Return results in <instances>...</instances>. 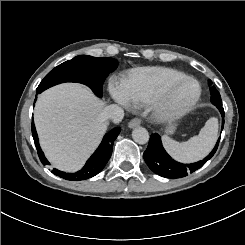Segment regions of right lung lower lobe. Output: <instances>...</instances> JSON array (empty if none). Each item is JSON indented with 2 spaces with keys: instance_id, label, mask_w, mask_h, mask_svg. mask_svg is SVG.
<instances>
[{
  "instance_id": "1",
  "label": "right lung lower lobe",
  "mask_w": 245,
  "mask_h": 245,
  "mask_svg": "<svg viewBox=\"0 0 245 245\" xmlns=\"http://www.w3.org/2000/svg\"><path fill=\"white\" fill-rule=\"evenodd\" d=\"M120 130L121 129L119 127L114 128L113 130H111L109 133H107L104 136L99 148L89 158L85 166L80 171L76 173H65L57 169H53L52 173L61 178H64L66 180H71V181L85 180V179H89L97 175L99 172L103 170L106 163L108 162L112 154L114 141L119 135ZM32 135H33L34 143L37 148V152H38L40 161L42 162L43 165H49V162L45 158L44 153L42 152L39 146L38 136L36 133V129H35L33 120H32Z\"/></svg>"
}]
</instances>
